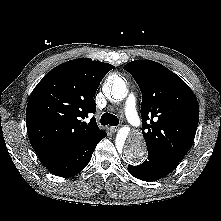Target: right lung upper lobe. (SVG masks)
<instances>
[{
	"label": "right lung upper lobe",
	"instance_id": "1",
	"mask_svg": "<svg viewBox=\"0 0 221 221\" xmlns=\"http://www.w3.org/2000/svg\"><path fill=\"white\" fill-rule=\"evenodd\" d=\"M114 66L88 58L52 69L35 87L26 109L30 143L44 162L103 133L92 117L93 99L103 77Z\"/></svg>",
	"mask_w": 221,
	"mask_h": 221
}]
</instances>
